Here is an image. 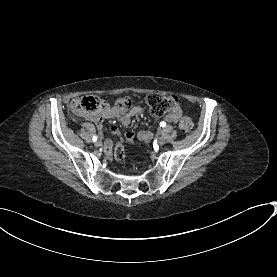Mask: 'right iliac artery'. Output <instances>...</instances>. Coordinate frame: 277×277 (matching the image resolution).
<instances>
[{"instance_id": "82829eb1", "label": "right iliac artery", "mask_w": 277, "mask_h": 277, "mask_svg": "<svg viewBox=\"0 0 277 277\" xmlns=\"http://www.w3.org/2000/svg\"><path fill=\"white\" fill-rule=\"evenodd\" d=\"M96 140H97V136L94 135V136H93V141H96Z\"/></svg>"}]
</instances>
